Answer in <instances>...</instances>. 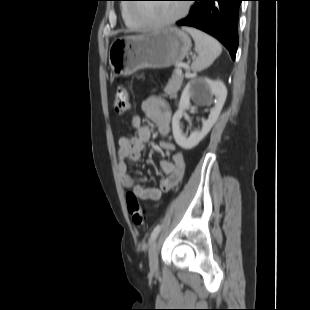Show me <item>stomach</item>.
Returning <instances> with one entry per match:
<instances>
[{"label":"stomach","instance_id":"0dacf381","mask_svg":"<svg viewBox=\"0 0 310 310\" xmlns=\"http://www.w3.org/2000/svg\"><path fill=\"white\" fill-rule=\"evenodd\" d=\"M184 31L169 27L146 35L115 39L109 48V65L114 76H127L140 69L167 68L181 62L191 49Z\"/></svg>","mask_w":310,"mask_h":310}]
</instances>
